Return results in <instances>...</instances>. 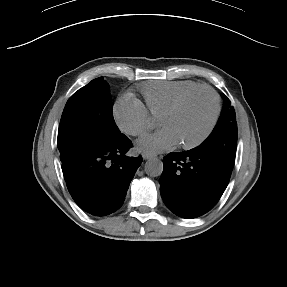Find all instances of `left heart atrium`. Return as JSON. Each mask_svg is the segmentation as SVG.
<instances>
[{
    "mask_svg": "<svg viewBox=\"0 0 287 287\" xmlns=\"http://www.w3.org/2000/svg\"><path fill=\"white\" fill-rule=\"evenodd\" d=\"M178 144L175 135L167 128L146 136L138 141L140 150L148 153H158L173 148Z\"/></svg>",
    "mask_w": 287,
    "mask_h": 287,
    "instance_id": "obj_1",
    "label": "left heart atrium"
}]
</instances>
